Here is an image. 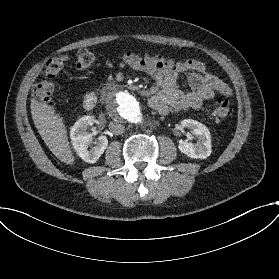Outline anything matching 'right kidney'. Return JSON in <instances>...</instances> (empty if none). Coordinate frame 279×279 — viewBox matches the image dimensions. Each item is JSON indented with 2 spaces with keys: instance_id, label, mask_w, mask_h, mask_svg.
<instances>
[{
  "instance_id": "right-kidney-1",
  "label": "right kidney",
  "mask_w": 279,
  "mask_h": 279,
  "mask_svg": "<svg viewBox=\"0 0 279 279\" xmlns=\"http://www.w3.org/2000/svg\"><path fill=\"white\" fill-rule=\"evenodd\" d=\"M92 126V118L90 116L81 117L71 127V140L77 155L87 163H96L102 156L108 146L106 136H99L97 143L89 146V141L92 137L90 128Z\"/></svg>"
}]
</instances>
